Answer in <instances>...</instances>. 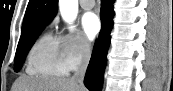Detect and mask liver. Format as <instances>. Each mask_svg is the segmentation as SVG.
<instances>
[{
  "instance_id": "1",
  "label": "liver",
  "mask_w": 173,
  "mask_h": 91,
  "mask_svg": "<svg viewBox=\"0 0 173 91\" xmlns=\"http://www.w3.org/2000/svg\"><path fill=\"white\" fill-rule=\"evenodd\" d=\"M12 91H86L76 82L66 78H36L21 76Z\"/></svg>"
}]
</instances>
